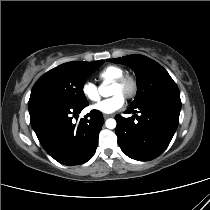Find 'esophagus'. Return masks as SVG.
I'll return each instance as SVG.
<instances>
[{
	"instance_id": "1",
	"label": "esophagus",
	"mask_w": 210,
	"mask_h": 210,
	"mask_svg": "<svg viewBox=\"0 0 210 210\" xmlns=\"http://www.w3.org/2000/svg\"><path fill=\"white\" fill-rule=\"evenodd\" d=\"M110 117H112V115H108V114H104V115H103V118H104V119H108V118H110Z\"/></svg>"
}]
</instances>
